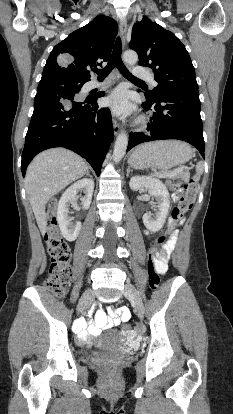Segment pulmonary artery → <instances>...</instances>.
Returning a JSON list of instances; mask_svg holds the SVG:
<instances>
[{"instance_id":"1","label":"pulmonary artery","mask_w":233,"mask_h":414,"mask_svg":"<svg viewBox=\"0 0 233 414\" xmlns=\"http://www.w3.org/2000/svg\"><path fill=\"white\" fill-rule=\"evenodd\" d=\"M133 74H134V76H136L137 78H141V79H146V80H149L151 83H152V85L153 86H156L157 85V82L154 80V78H153V76H152V74L149 72V71H147V70H145V69H142V68H135L134 70H133ZM108 82H102V83H98V82H92L91 84H90V87L91 88H96V87H99V86H102V85H105V84H107Z\"/></svg>"}]
</instances>
